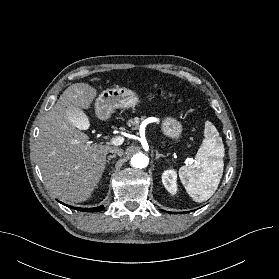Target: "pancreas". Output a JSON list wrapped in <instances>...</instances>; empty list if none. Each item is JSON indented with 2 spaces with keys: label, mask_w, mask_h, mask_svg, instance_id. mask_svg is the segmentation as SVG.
<instances>
[{
  "label": "pancreas",
  "mask_w": 279,
  "mask_h": 279,
  "mask_svg": "<svg viewBox=\"0 0 279 279\" xmlns=\"http://www.w3.org/2000/svg\"><path fill=\"white\" fill-rule=\"evenodd\" d=\"M141 120H143V118H134L132 120L129 121V126H133L132 128L133 129H138L139 128V125H140V122Z\"/></svg>",
  "instance_id": "obj_1"
}]
</instances>
